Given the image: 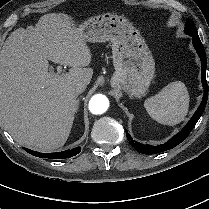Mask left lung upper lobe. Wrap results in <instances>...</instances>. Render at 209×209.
<instances>
[{
  "label": "left lung upper lobe",
  "mask_w": 209,
  "mask_h": 209,
  "mask_svg": "<svg viewBox=\"0 0 209 209\" xmlns=\"http://www.w3.org/2000/svg\"><path fill=\"white\" fill-rule=\"evenodd\" d=\"M185 33L191 37H199L198 36V32L196 30V27L194 25V23L190 20L187 19L186 20V24H185Z\"/></svg>",
  "instance_id": "obj_1"
}]
</instances>
